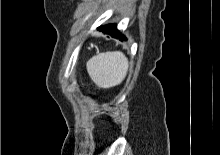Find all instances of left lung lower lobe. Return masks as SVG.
Returning <instances> with one entry per match:
<instances>
[{
	"label": "left lung lower lobe",
	"instance_id": "left-lung-lower-lobe-1",
	"mask_svg": "<svg viewBox=\"0 0 220 155\" xmlns=\"http://www.w3.org/2000/svg\"><path fill=\"white\" fill-rule=\"evenodd\" d=\"M99 31L104 32L105 34H109L112 37L119 38L121 41L126 40V37L117 30L115 24H109L105 26H100L97 28Z\"/></svg>",
	"mask_w": 220,
	"mask_h": 155
}]
</instances>
